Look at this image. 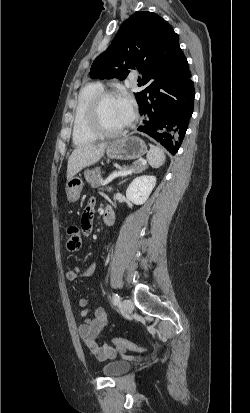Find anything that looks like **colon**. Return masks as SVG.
I'll return each mask as SVG.
<instances>
[{
	"label": "colon",
	"mask_w": 250,
	"mask_h": 413,
	"mask_svg": "<svg viewBox=\"0 0 250 413\" xmlns=\"http://www.w3.org/2000/svg\"><path fill=\"white\" fill-rule=\"evenodd\" d=\"M66 247L69 251H78L82 246V236L77 226H69L65 233ZM112 343L123 353L127 351L143 352L144 347L122 338L112 339Z\"/></svg>",
	"instance_id": "1"
}]
</instances>
